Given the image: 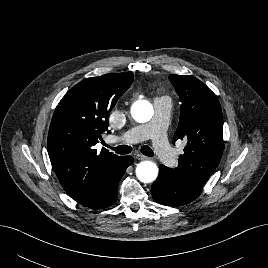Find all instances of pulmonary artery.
<instances>
[{
    "instance_id": "e3ab8cb5",
    "label": "pulmonary artery",
    "mask_w": 268,
    "mask_h": 268,
    "mask_svg": "<svg viewBox=\"0 0 268 268\" xmlns=\"http://www.w3.org/2000/svg\"><path fill=\"white\" fill-rule=\"evenodd\" d=\"M153 106L155 111L154 120L151 123L131 128L127 131L123 140L125 143H138L152 139L156 155H158L166 165L172 167L176 163V157L165 136L170 103L165 98H156L153 101ZM119 140L120 138L116 136L112 138L113 143Z\"/></svg>"
}]
</instances>
